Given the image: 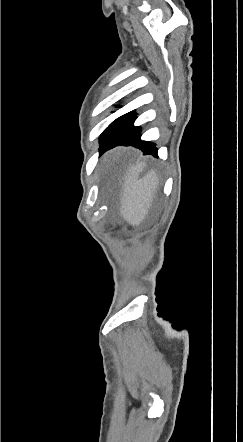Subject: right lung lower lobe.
Here are the masks:
<instances>
[{"instance_id":"98d812e1","label":"right lung lower lobe","mask_w":243,"mask_h":442,"mask_svg":"<svg viewBox=\"0 0 243 442\" xmlns=\"http://www.w3.org/2000/svg\"><path fill=\"white\" fill-rule=\"evenodd\" d=\"M136 118L135 112H129L113 121L100 137V152L124 145L138 147L144 155L157 156V148L154 143L140 140V128L133 126Z\"/></svg>"}]
</instances>
